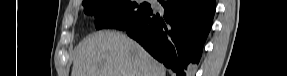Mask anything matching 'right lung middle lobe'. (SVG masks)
Instances as JSON below:
<instances>
[{
  "instance_id": "right-lung-middle-lobe-1",
  "label": "right lung middle lobe",
  "mask_w": 287,
  "mask_h": 76,
  "mask_svg": "<svg viewBox=\"0 0 287 76\" xmlns=\"http://www.w3.org/2000/svg\"><path fill=\"white\" fill-rule=\"evenodd\" d=\"M86 14H104L97 20L96 29L125 30L151 10L150 4L130 0H88L82 3Z\"/></svg>"
}]
</instances>
